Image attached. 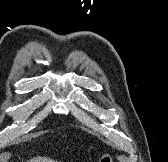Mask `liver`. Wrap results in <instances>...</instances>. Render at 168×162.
I'll list each match as a JSON object with an SVG mask.
<instances>
[{
	"instance_id": "1",
	"label": "liver",
	"mask_w": 168,
	"mask_h": 162,
	"mask_svg": "<svg viewBox=\"0 0 168 162\" xmlns=\"http://www.w3.org/2000/svg\"><path fill=\"white\" fill-rule=\"evenodd\" d=\"M26 162H58V161H55L53 159H50V158H47V157H34Z\"/></svg>"
}]
</instances>
